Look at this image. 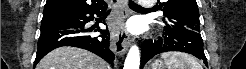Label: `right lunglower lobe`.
Listing matches in <instances>:
<instances>
[{"label": "right lung lower lobe", "mask_w": 246, "mask_h": 69, "mask_svg": "<svg viewBox=\"0 0 246 69\" xmlns=\"http://www.w3.org/2000/svg\"><path fill=\"white\" fill-rule=\"evenodd\" d=\"M106 7L89 10L54 11L43 14L34 66L48 52L61 46L87 49L112 64L115 55L109 49L108 30L86 26V23L94 19L95 14L101 16ZM97 31L101 32L102 35L91 36V32Z\"/></svg>", "instance_id": "right-lung-lower-lobe-1"}]
</instances>
